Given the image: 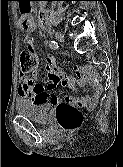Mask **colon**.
I'll use <instances>...</instances> for the list:
<instances>
[{"mask_svg":"<svg viewBox=\"0 0 123 167\" xmlns=\"http://www.w3.org/2000/svg\"><path fill=\"white\" fill-rule=\"evenodd\" d=\"M19 61L22 75L34 72L37 68V58L30 49L21 51ZM56 119L61 129L69 132L81 126L83 114L74 106L63 103L57 107Z\"/></svg>","mask_w":123,"mask_h":167,"instance_id":"5ec220e1","label":"colon"}]
</instances>
